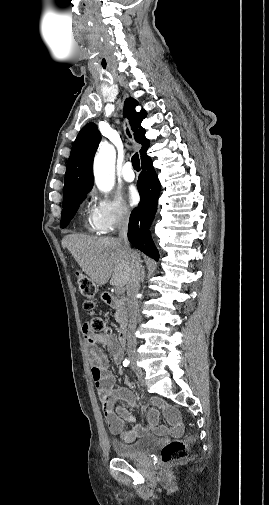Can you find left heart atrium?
Returning a JSON list of instances; mask_svg holds the SVG:
<instances>
[{"label":"left heart atrium","instance_id":"39dd6f15","mask_svg":"<svg viewBox=\"0 0 269 505\" xmlns=\"http://www.w3.org/2000/svg\"><path fill=\"white\" fill-rule=\"evenodd\" d=\"M127 200L131 206H134L139 201V193L137 189L133 186L129 187L127 190Z\"/></svg>","mask_w":269,"mask_h":505}]
</instances>
